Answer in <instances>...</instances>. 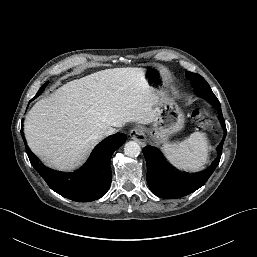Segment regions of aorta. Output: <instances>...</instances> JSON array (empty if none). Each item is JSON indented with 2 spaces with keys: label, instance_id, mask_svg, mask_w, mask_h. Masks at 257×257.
I'll use <instances>...</instances> for the list:
<instances>
[{
  "label": "aorta",
  "instance_id": "762f6f07",
  "mask_svg": "<svg viewBox=\"0 0 257 257\" xmlns=\"http://www.w3.org/2000/svg\"><path fill=\"white\" fill-rule=\"evenodd\" d=\"M141 152L139 144L135 141H129L124 146V153L129 157H137Z\"/></svg>",
  "mask_w": 257,
  "mask_h": 257
}]
</instances>
